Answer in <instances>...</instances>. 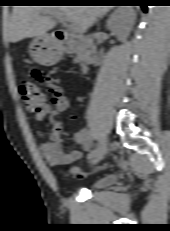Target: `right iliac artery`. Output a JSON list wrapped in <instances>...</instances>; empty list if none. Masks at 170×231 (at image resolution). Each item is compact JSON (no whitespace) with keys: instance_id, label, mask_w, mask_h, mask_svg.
Masks as SVG:
<instances>
[{"instance_id":"82829eb1","label":"right iliac artery","mask_w":170,"mask_h":231,"mask_svg":"<svg viewBox=\"0 0 170 231\" xmlns=\"http://www.w3.org/2000/svg\"><path fill=\"white\" fill-rule=\"evenodd\" d=\"M97 149H98V148H97ZM97 149L91 151V152L88 154L87 158H88V159H91V158L96 154Z\"/></svg>"}]
</instances>
